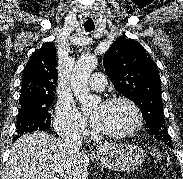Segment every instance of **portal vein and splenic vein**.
Masks as SVG:
<instances>
[{"label": "portal vein and splenic vein", "instance_id": "18ae733b", "mask_svg": "<svg viewBox=\"0 0 183 179\" xmlns=\"http://www.w3.org/2000/svg\"><path fill=\"white\" fill-rule=\"evenodd\" d=\"M50 179H59L58 177L54 176V177H51Z\"/></svg>", "mask_w": 183, "mask_h": 179}]
</instances>
